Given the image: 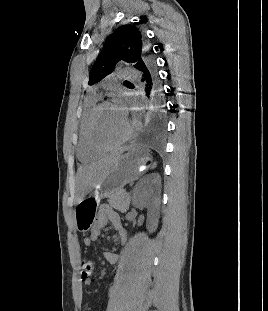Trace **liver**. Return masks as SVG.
Wrapping results in <instances>:
<instances>
[{
	"label": "liver",
	"instance_id": "obj_1",
	"mask_svg": "<svg viewBox=\"0 0 268 311\" xmlns=\"http://www.w3.org/2000/svg\"><path fill=\"white\" fill-rule=\"evenodd\" d=\"M124 149L112 153L95 163L81 167L77 172L78 203L108 174L111 166L123 153Z\"/></svg>",
	"mask_w": 268,
	"mask_h": 311
}]
</instances>
